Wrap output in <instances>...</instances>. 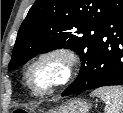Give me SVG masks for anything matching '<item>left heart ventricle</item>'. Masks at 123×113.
Returning a JSON list of instances; mask_svg holds the SVG:
<instances>
[{"label":"left heart ventricle","mask_w":123,"mask_h":113,"mask_svg":"<svg viewBox=\"0 0 123 113\" xmlns=\"http://www.w3.org/2000/svg\"><path fill=\"white\" fill-rule=\"evenodd\" d=\"M56 66L45 64L38 68L32 75L31 82L37 90H42L54 77Z\"/></svg>","instance_id":"left-heart-ventricle-1"}]
</instances>
